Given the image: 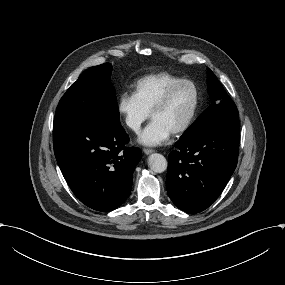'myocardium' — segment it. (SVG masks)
I'll return each instance as SVG.
<instances>
[{
    "label": "myocardium",
    "instance_id": "obj_1",
    "mask_svg": "<svg viewBox=\"0 0 285 285\" xmlns=\"http://www.w3.org/2000/svg\"><path fill=\"white\" fill-rule=\"evenodd\" d=\"M190 84L192 85V87L194 88L195 91V102L193 105V108L189 114V116L187 117V119L177 128H175L172 132L174 134H179L182 133L184 131H186L190 125L193 123L195 117L197 116V113L199 111L200 108V104H201V90L198 86V84L192 80V79H181L175 83H173L172 85H170L165 92L161 95V97L159 98V100L157 101V103L154 105V107L151 110V116H153V114L164 108L170 101V98L172 96V94L174 93V91L182 84Z\"/></svg>",
    "mask_w": 285,
    "mask_h": 285
}]
</instances>
